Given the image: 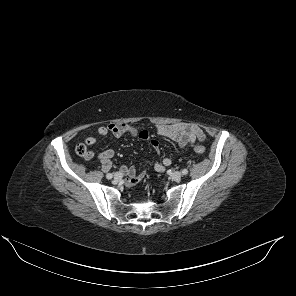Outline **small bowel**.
<instances>
[{
	"label": "small bowel",
	"mask_w": 296,
	"mask_h": 296,
	"mask_svg": "<svg viewBox=\"0 0 296 296\" xmlns=\"http://www.w3.org/2000/svg\"><path fill=\"white\" fill-rule=\"evenodd\" d=\"M97 133L100 137H106L111 135L115 139H119L125 134L136 136L141 140L148 141L157 151L160 153L159 142L151 137V134L145 130L137 128L127 123L109 124L107 126H101L97 129ZM156 133L165 138L171 139L176 142L180 147H186L192 145L195 141L202 142L205 139L203 130L193 124L176 123V124H158L156 126ZM99 140L95 137H87L84 143L88 146L95 145ZM91 152V151H90ZM93 152L86 159H92ZM114 156V151L111 149L103 151L99 155V159L102 161H108ZM172 164V159L165 157L161 162H156L154 168L157 172H164L166 167ZM121 172L127 177L125 183L127 185H135L141 181L144 177L143 173H137L134 166L124 165L121 167Z\"/></svg>",
	"instance_id": "obj_1"
}]
</instances>
